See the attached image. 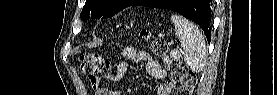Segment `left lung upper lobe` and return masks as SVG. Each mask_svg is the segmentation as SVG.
<instances>
[{
    "instance_id": "5c2ea615",
    "label": "left lung upper lobe",
    "mask_w": 277,
    "mask_h": 95,
    "mask_svg": "<svg viewBox=\"0 0 277 95\" xmlns=\"http://www.w3.org/2000/svg\"><path fill=\"white\" fill-rule=\"evenodd\" d=\"M137 0H86L80 14L81 18L87 20L105 19L112 17L126 7L132 6ZM177 0H159L158 8H167L176 3Z\"/></svg>"
}]
</instances>
